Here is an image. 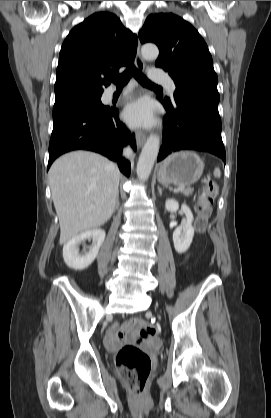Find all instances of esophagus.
I'll return each mask as SVG.
<instances>
[{"mask_svg":"<svg viewBox=\"0 0 271 418\" xmlns=\"http://www.w3.org/2000/svg\"><path fill=\"white\" fill-rule=\"evenodd\" d=\"M135 64L139 71H144L145 62L140 54V43L138 42L137 50H136V57H135ZM146 141V134L142 131H137L136 133V143L138 147L143 146Z\"/></svg>","mask_w":271,"mask_h":418,"instance_id":"esophagus-1","label":"esophagus"}]
</instances>
